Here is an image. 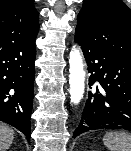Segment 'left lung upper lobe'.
Segmentation results:
<instances>
[{"mask_svg":"<svg viewBox=\"0 0 131 151\" xmlns=\"http://www.w3.org/2000/svg\"><path fill=\"white\" fill-rule=\"evenodd\" d=\"M75 34L131 62V12L122 0H83Z\"/></svg>","mask_w":131,"mask_h":151,"instance_id":"5c2ea615","label":"left lung upper lobe"}]
</instances>
